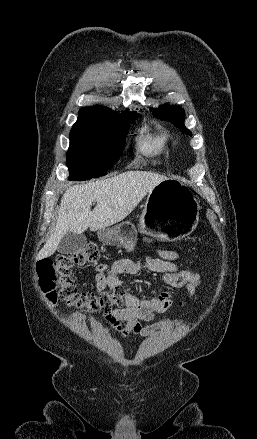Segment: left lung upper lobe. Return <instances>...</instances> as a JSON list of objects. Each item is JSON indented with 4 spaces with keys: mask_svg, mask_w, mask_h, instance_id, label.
<instances>
[{
    "mask_svg": "<svg viewBox=\"0 0 257 439\" xmlns=\"http://www.w3.org/2000/svg\"><path fill=\"white\" fill-rule=\"evenodd\" d=\"M154 116L161 120H169L176 127L180 128L185 134L191 135L190 131L185 127V112L181 107L169 106L168 104L160 105L158 108L153 109Z\"/></svg>",
    "mask_w": 257,
    "mask_h": 439,
    "instance_id": "left-lung-upper-lobe-1",
    "label": "left lung upper lobe"
}]
</instances>
